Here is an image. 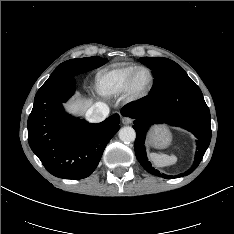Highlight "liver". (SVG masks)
Returning <instances> with one entry per match:
<instances>
[{
	"label": "liver",
	"mask_w": 234,
	"mask_h": 234,
	"mask_svg": "<svg viewBox=\"0 0 234 234\" xmlns=\"http://www.w3.org/2000/svg\"><path fill=\"white\" fill-rule=\"evenodd\" d=\"M92 107V100L91 99H81L77 98L75 100L70 101L66 104V109L70 113H83L89 108Z\"/></svg>",
	"instance_id": "1"
}]
</instances>
